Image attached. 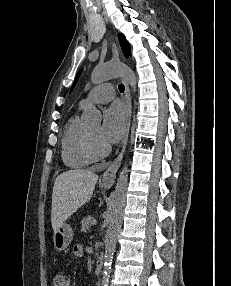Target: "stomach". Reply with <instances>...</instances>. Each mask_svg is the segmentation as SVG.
Wrapping results in <instances>:
<instances>
[{
	"label": "stomach",
	"instance_id": "0dacf381",
	"mask_svg": "<svg viewBox=\"0 0 231 286\" xmlns=\"http://www.w3.org/2000/svg\"><path fill=\"white\" fill-rule=\"evenodd\" d=\"M108 188V185L104 186ZM54 247L58 251L65 250L73 239L72 228L69 224L63 223L57 230L53 232Z\"/></svg>",
	"mask_w": 231,
	"mask_h": 286
}]
</instances>
